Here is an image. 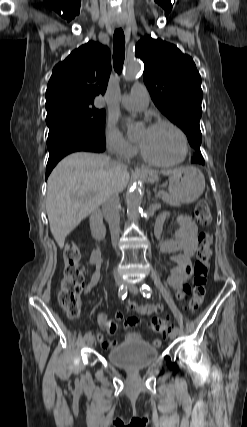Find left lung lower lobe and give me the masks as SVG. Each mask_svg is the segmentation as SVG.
Masks as SVG:
<instances>
[{
	"label": "left lung lower lobe",
	"instance_id": "left-lung-lower-lobe-1",
	"mask_svg": "<svg viewBox=\"0 0 247 427\" xmlns=\"http://www.w3.org/2000/svg\"><path fill=\"white\" fill-rule=\"evenodd\" d=\"M191 161L195 162V163L204 164V159H203L202 155L198 154L197 152H194V156L192 157Z\"/></svg>",
	"mask_w": 247,
	"mask_h": 427
}]
</instances>
